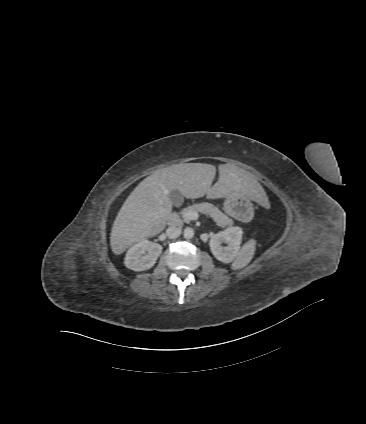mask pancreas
Returning <instances> with one entry per match:
<instances>
[{
  "label": "pancreas",
  "mask_w": 366,
  "mask_h": 424,
  "mask_svg": "<svg viewBox=\"0 0 366 424\" xmlns=\"http://www.w3.org/2000/svg\"><path fill=\"white\" fill-rule=\"evenodd\" d=\"M184 211H196L198 213L205 214L206 216L211 217L219 227L232 226L233 224V220L231 218L221 212L213 204L207 202L188 206L183 210V212ZM184 221L188 222L189 220L184 218Z\"/></svg>",
  "instance_id": "cf45deb5"
}]
</instances>
